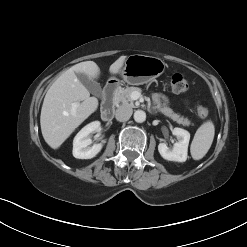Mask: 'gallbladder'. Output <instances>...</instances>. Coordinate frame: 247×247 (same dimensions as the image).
<instances>
[{"label": "gallbladder", "mask_w": 247, "mask_h": 247, "mask_svg": "<svg viewBox=\"0 0 247 247\" xmlns=\"http://www.w3.org/2000/svg\"><path fill=\"white\" fill-rule=\"evenodd\" d=\"M77 77L79 81L95 96H100L102 93V88L99 83L90 79L84 73H78Z\"/></svg>", "instance_id": "bac80fb5"}]
</instances>
